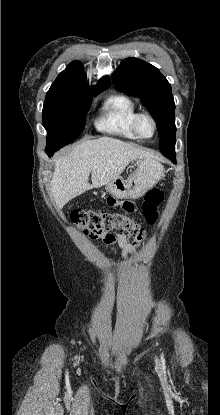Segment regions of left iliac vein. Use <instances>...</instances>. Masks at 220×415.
Returning <instances> with one entry per match:
<instances>
[{"mask_svg": "<svg viewBox=\"0 0 220 415\" xmlns=\"http://www.w3.org/2000/svg\"><path fill=\"white\" fill-rule=\"evenodd\" d=\"M155 362H156L157 365L160 364V362H159V360L157 358H156Z\"/></svg>", "mask_w": 220, "mask_h": 415, "instance_id": "left-iliac-vein-1", "label": "left iliac vein"}]
</instances>
